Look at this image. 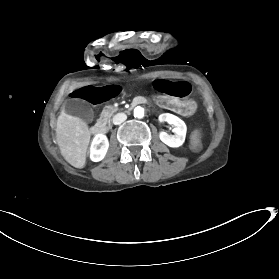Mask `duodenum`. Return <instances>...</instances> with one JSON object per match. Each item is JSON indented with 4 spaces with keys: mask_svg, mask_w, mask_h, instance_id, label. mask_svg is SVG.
Returning a JSON list of instances; mask_svg holds the SVG:
<instances>
[{
    "mask_svg": "<svg viewBox=\"0 0 279 279\" xmlns=\"http://www.w3.org/2000/svg\"><path fill=\"white\" fill-rule=\"evenodd\" d=\"M132 103L134 105H137L138 103L144 104V105H149L151 103V100L149 98L137 96L132 100ZM128 112H131V109H128ZM101 127H102V124L100 122H97L95 124V126H93L91 128V132L93 134H97V135H103V134H107L109 132V128L107 126H104L103 128H101Z\"/></svg>",
    "mask_w": 279,
    "mask_h": 279,
    "instance_id": "410a0bca",
    "label": "duodenum"
}]
</instances>
